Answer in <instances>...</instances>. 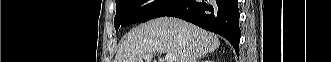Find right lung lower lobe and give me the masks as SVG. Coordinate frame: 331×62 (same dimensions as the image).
Masks as SVG:
<instances>
[{"label": "right lung lower lobe", "mask_w": 331, "mask_h": 62, "mask_svg": "<svg viewBox=\"0 0 331 62\" xmlns=\"http://www.w3.org/2000/svg\"><path fill=\"white\" fill-rule=\"evenodd\" d=\"M162 16L181 18L225 37L239 52L238 0H181Z\"/></svg>", "instance_id": "1"}]
</instances>
